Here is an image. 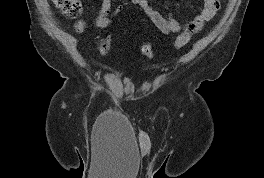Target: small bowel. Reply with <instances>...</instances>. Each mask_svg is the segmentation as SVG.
<instances>
[{
	"instance_id": "c3829d8e",
	"label": "small bowel",
	"mask_w": 264,
	"mask_h": 178,
	"mask_svg": "<svg viewBox=\"0 0 264 178\" xmlns=\"http://www.w3.org/2000/svg\"><path fill=\"white\" fill-rule=\"evenodd\" d=\"M138 6L144 14L150 19L153 25L163 34L169 35L178 33L181 30L179 21L175 18L169 0H163L164 13L154 9L149 0H126L121 5L112 8V0H101L99 12L96 15L93 27L104 29L109 26L110 18L119 15L128 6ZM220 8V0H203V9L186 27L185 31L191 35L199 32L203 25L211 20ZM75 29L78 33L87 31V23L80 19L75 23Z\"/></svg>"
}]
</instances>
